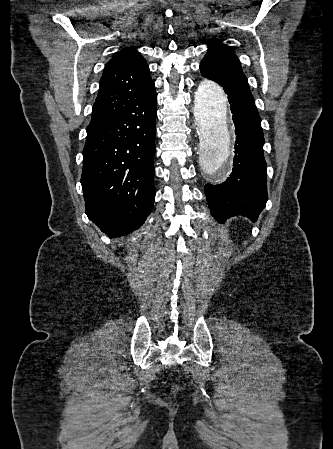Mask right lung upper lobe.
<instances>
[{
    "mask_svg": "<svg viewBox=\"0 0 333 449\" xmlns=\"http://www.w3.org/2000/svg\"><path fill=\"white\" fill-rule=\"evenodd\" d=\"M154 87L146 60L135 47L124 48L105 66L92 119L108 115Z\"/></svg>",
    "mask_w": 333,
    "mask_h": 449,
    "instance_id": "right-lung-upper-lobe-1",
    "label": "right lung upper lobe"
}]
</instances>
